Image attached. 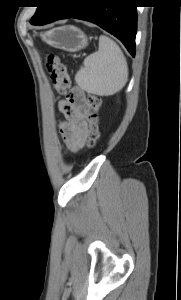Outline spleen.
Here are the masks:
<instances>
[{
  "label": "spleen",
  "mask_w": 181,
  "mask_h": 300,
  "mask_svg": "<svg viewBox=\"0 0 181 300\" xmlns=\"http://www.w3.org/2000/svg\"><path fill=\"white\" fill-rule=\"evenodd\" d=\"M75 81L87 93L98 96H109L120 91L128 81V66L117 43L101 35L98 51L84 59Z\"/></svg>",
  "instance_id": "3e777b00"
}]
</instances>
